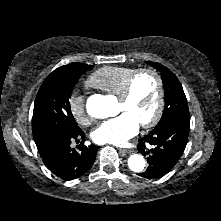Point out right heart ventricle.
<instances>
[{
	"label": "right heart ventricle",
	"instance_id": "e07e8e85",
	"mask_svg": "<svg viewBox=\"0 0 221 221\" xmlns=\"http://www.w3.org/2000/svg\"><path fill=\"white\" fill-rule=\"evenodd\" d=\"M134 71L135 69L129 67L106 66L94 72L88 78L87 85L118 96Z\"/></svg>",
	"mask_w": 221,
	"mask_h": 221
}]
</instances>
